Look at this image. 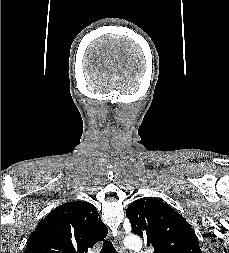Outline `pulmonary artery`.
<instances>
[{"mask_svg": "<svg viewBox=\"0 0 229 253\" xmlns=\"http://www.w3.org/2000/svg\"><path fill=\"white\" fill-rule=\"evenodd\" d=\"M138 253H146V252H138Z\"/></svg>", "mask_w": 229, "mask_h": 253, "instance_id": "e3ab8cb5", "label": "pulmonary artery"}]
</instances>
